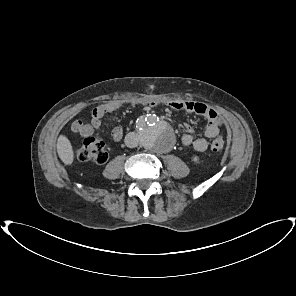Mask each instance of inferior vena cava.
I'll list each match as a JSON object with an SVG mask.
<instances>
[{"instance_id": "inferior-vena-cava-1", "label": "inferior vena cava", "mask_w": 296, "mask_h": 296, "mask_svg": "<svg viewBox=\"0 0 296 296\" xmlns=\"http://www.w3.org/2000/svg\"><path fill=\"white\" fill-rule=\"evenodd\" d=\"M125 145L129 148L137 147L139 143L138 135L135 132H130L125 136Z\"/></svg>"}]
</instances>
